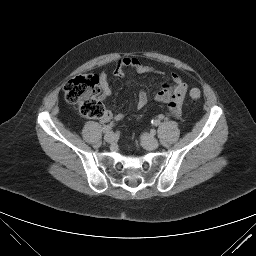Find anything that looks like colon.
Returning <instances> with one entry per match:
<instances>
[{"mask_svg": "<svg viewBox=\"0 0 256 256\" xmlns=\"http://www.w3.org/2000/svg\"><path fill=\"white\" fill-rule=\"evenodd\" d=\"M100 87V80L96 75H78L65 83L64 96L67 102L78 105L83 116L99 119L106 114L105 107L99 99ZM189 94L194 102L201 96L198 88H192Z\"/></svg>", "mask_w": 256, "mask_h": 256, "instance_id": "colon-1", "label": "colon"}]
</instances>
